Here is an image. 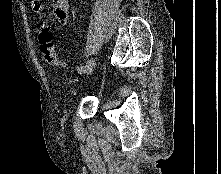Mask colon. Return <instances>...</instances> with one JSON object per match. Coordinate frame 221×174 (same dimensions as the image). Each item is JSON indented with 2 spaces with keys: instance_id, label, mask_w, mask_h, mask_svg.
<instances>
[{
  "instance_id": "obj_1",
  "label": "colon",
  "mask_w": 221,
  "mask_h": 174,
  "mask_svg": "<svg viewBox=\"0 0 221 174\" xmlns=\"http://www.w3.org/2000/svg\"><path fill=\"white\" fill-rule=\"evenodd\" d=\"M38 42L40 50L45 58V60L54 67H64V61L60 59L54 43L53 34L48 26L42 24L38 34Z\"/></svg>"
}]
</instances>
